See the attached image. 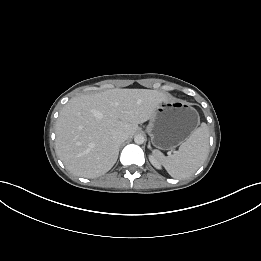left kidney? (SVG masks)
Masks as SVG:
<instances>
[{"mask_svg":"<svg viewBox=\"0 0 261 261\" xmlns=\"http://www.w3.org/2000/svg\"><path fill=\"white\" fill-rule=\"evenodd\" d=\"M149 160H150L151 164H152L155 168H157V169H160V168H161L159 161H158L153 155H150V156H149Z\"/></svg>","mask_w":261,"mask_h":261,"instance_id":"1","label":"left kidney"}]
</instances>
